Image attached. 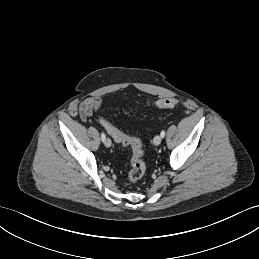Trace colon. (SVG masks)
<instances>
[{"instance_id": "obj_1", "label": "colon", "mask_w": 259, "mask_h": 259, "mask_svg": "<svg viewBox=\"0 0 259 259\" xmlns=\"http://www.w3.org/2000/svg\"><path fill=\"white\" fill-rule=\"evenodd\" d=\"M154 108H175L178 101L174 98L159 99L152 104ZM102 124L107 133L117 142L124 146L130 147L132 157L130 160V169L127 178L131 183L138 182L145 173L146 165L144 162V150L139 138L129 136L114 127L107 119H102Z\"/></svg>"}]
</instances>
